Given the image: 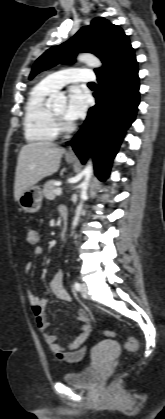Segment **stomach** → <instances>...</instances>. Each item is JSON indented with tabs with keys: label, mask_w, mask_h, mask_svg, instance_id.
<instances>
[{
	"label": "stomach",
	"mask_w": 165,
	"mask_h": 419,
	"mask_svg": "<svg viewBox=\"0 0 165 419\" xmlns=\"http://www.w3.org/2000/svg\"><path fill=\"white\" fill-rule=\"evenodd\" d=\"M69 162L73 159L68 158ZM43 200V192L39 186H32L22 192L18 199L19 206L28 213H36L40 208Z\"/></svg>",
	"instance_id": "0dacf381"
}]
</instances>
